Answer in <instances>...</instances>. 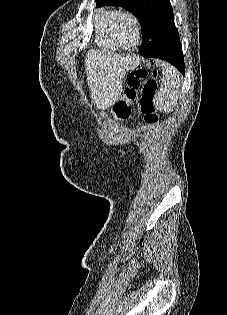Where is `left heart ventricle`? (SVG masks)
Segmentation results:
<instances>
[{
  "label": "left heart ventricle",
  "instance_id": "b2bd125f",
  "mask_svg": "<svg viewBox=\"0 0 227 315\" xmlns=\"http://www.w3.org/2000/svg\"><path fill=\"white\" fill-rule=\"evenodd\" d=\"M120 42L125 47H132L136 44V28L130 19H124L118 27Z\"/></svg>",
  "mask_w": 227,
  "mask_h": 315
}]
</instances>
